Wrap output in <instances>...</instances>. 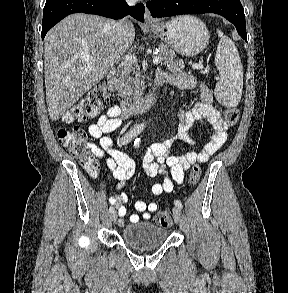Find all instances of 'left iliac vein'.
Masks as SVG:
<instances>
[{
  "mask_svg": "<svg viewBox=\"0 0 288 293\" xmlns=\"http://www.w3.org/2000/svg\"><path fill=\"white\" fill-rule=\"evenodd\" d=\"M173 217H174L175 222H176L177 224H179L180 221H181V210H180V208H178L177 206H175V207L173 208Z\"/></svg>",
  "mask_w": 288,
  "mask_h": 293,
  "instance_id": "1",
  "label": "left iliac vein"
}]
</instances>
